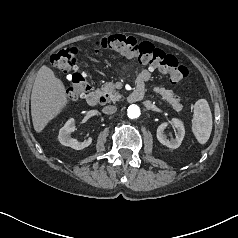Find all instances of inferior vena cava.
<instances>
[{
    "label": "inferior vena cava",
    "mask_w": 238,
    "mask_h": 238,
    "mask_svg": "<svg viewBox=\"0 0 238 238\" xmlns=\"http://www.w3.org/2000/svg\"><path fill=\"white\" fill-rule=\"evenodd\" d=\"M102 111H103V113H105L107 115H111L117 111V107L114 105H108V106H105Z\"/></svg>",
    "instance_id": "obj_1"
}]
</instances>
